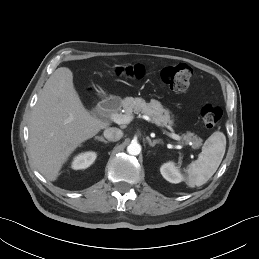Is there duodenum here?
Listing matches in <instances>:
<instances>
[{"label":"duodenum","instance_id":"obj_1","mask_svg":"<svg viewBox=\"0 0 259 259\" xmlns=\"http://www.w3.org/2000/svg\"><path fill=\"white\" fill-rule=\"evenodd\" d=\"M121 103L118 99H104L99 104V109L103 112H112L114 110H118Z\"/></svg>","mask_w":259,"mask_h":259}]
</instances>
